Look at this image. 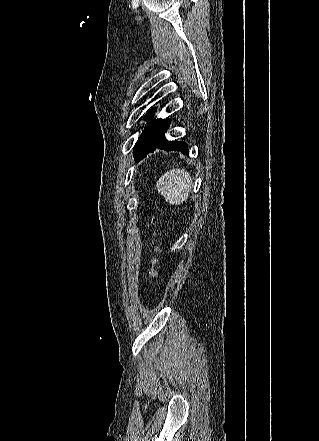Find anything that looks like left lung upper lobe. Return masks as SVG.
Returning a JSON list of instances; mask_svg holds the SVG:
<instances>
[{"label":"left lung upper lobe","instance_id":"obj_1","mask_svg":"<svg viewBox=\"0 0 319 441\" xmlns=\"http://www.w3.org/2000/svg\"><path fill=\"white\" fill-rule=\"evenodd\" d=\"M154 113H155V109L152 108L151 110H149L148 114L145 116V119L152 118V120L147 125V127L144 129V131L140 135L138 141L136 142L135 147L133 148V155H134V159L136 161H140L142 154L149 147L152 138L160 130V128L169 120L168 118H166L164 120L163 119H153Z\"/></svg>","mask_w":319,"mask_h":441}]
</instances>
